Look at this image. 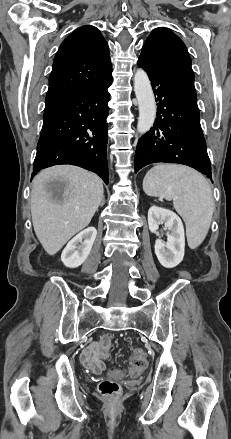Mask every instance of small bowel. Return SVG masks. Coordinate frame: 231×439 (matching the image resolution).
<instances>
[{
    "mask_svg": "<svg viewBox=\"0 0 231 439\" xmlns=\"http://www.w3.org/2000/svg\"><path fill=\"white\" fill-rule=\"evenodd\" d=\"M81 363L93 373H98L105 365V358L100 354V343L92 342L80 354Z\"/></svg>",
    "mask_w": 231,
    "mask_h": 439,
    "instance_id": "obj_1",
    "label": "small bowel"
}]
</instances>
